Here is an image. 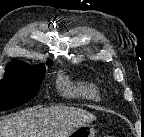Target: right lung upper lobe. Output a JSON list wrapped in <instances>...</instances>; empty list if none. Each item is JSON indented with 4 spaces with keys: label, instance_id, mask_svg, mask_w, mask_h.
Segmentation results:
<instances>
[{
    "label": "right lung upper lobe",
    "instance_id": "obj_1",
    "mask_svg": "<svg viewBox=\"0 0 144 137\" xmlns=\"http://www.w3.org/2000/svg\"><path fill=\"white\" fill-rule=\"evenodd\" d=\"M49 62L50 61H48V63ZM14 66H30V65H28V64H26V63H24L22 61H19V60H13L7 65V67H14Z\"/></svg>",
    "mask_w": 144,
    "mask_h": 137
}]
</instances>
